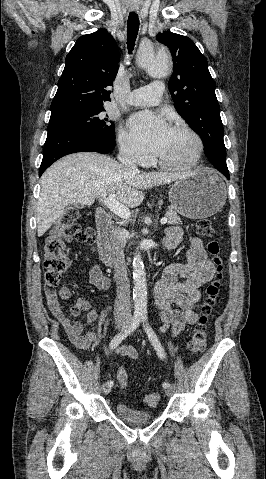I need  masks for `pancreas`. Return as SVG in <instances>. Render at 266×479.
Returning <instances> with one entry per match:
<instances>
[{"mask_svg": "<svg viewBox=\"0 0 266 479\" xmlns=\"http://www.w3.org/2000/svg\"><path fill=\"white\" fill-rule=\"evenodd\" d=\"M165 216L168 219V224H182L180 217L174 210L167 211Z\"/></svg>", "mask_w": 266, "mask_h": 479, "instance_id": "pancreas-1", "label": "pancreas"}]
</instances>
